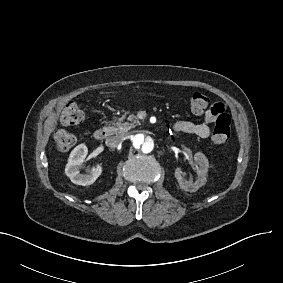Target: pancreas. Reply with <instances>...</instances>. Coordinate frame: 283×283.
<instances>
[{
    "label": "pancreas",
    "instance_id": "pancreas-1",
    "mask_svg": "<svg viewBox=\"0 0 283 283\" xmlns=\"http://www.w3.org/2000/svg\"><path fill=\"white\" fill-rule=\"evenodd\" d=\"M128 122H122L121 119L114 123L113 126H109V131L112 134L124 136L130 129L134 128L138 123V118L135 115H129L127 118Z\"/></svg>",
    "mask_w": 283,
    "mask_h": 283
}]
</instances>
